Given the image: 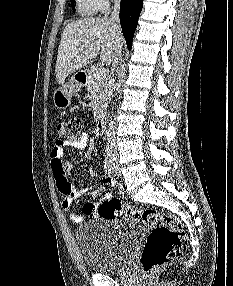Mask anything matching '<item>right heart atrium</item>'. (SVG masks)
<instances>
[{"label":"right heart atrium","instance_id":"1","mask_svg":"<svg viewBox=\"0 0 233 286\" xmlns=\"http://www.w3.org/2000/svg\"><path fill=\"white\" fill-rule=\"evenodd\" d=\"M99 6V9L106 11L109 8L110 0H96Z\"/></svg>","mask_w":233,"mask_h":286}]
</instances>
